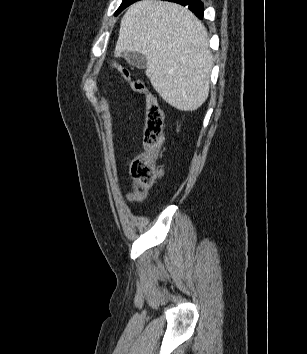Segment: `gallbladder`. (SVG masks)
Returning <instances> with one entry per match:
<instances>
[{"label":"gallbladder","instance_id":"bac80fb5","mask_svg":"<svg viewBox=\"0 0 307 354\" xmlns=\"http://www.w3.org/2000/svg\"><path fill=\"white\" fill-rule=\"evenodd\" d=\"M124 56H125L126 61L130 65L137 67L139 69L146 68L147 59L142 53L132 51V52H127Z\"/></svg>","mask_w":307,"mask_h":354}]
</instances>
